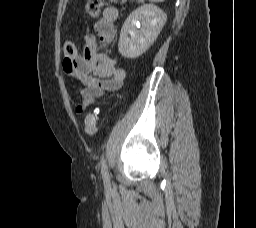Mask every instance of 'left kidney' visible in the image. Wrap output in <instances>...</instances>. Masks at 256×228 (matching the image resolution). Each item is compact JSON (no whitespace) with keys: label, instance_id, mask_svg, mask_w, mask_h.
I'll return each instance as SVG.
<instances>
[{"label":"left kidney","instance_id":"left-kidney-1","mask_svg":"<svg viewBox=\"0 0 256 228\" xmlns=\"http://www.w3.org/2000/svg\"><path fill=\"white\" fill-rule=\"evenodd\" d=\"M167 15L153 4H144L134 10L124 22L118 43L119 53L135 59L157 39Z\"/></svg>","mask_w":256,"mask_h":228}]
</instances>
